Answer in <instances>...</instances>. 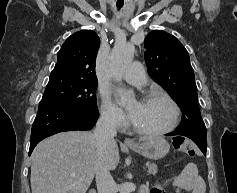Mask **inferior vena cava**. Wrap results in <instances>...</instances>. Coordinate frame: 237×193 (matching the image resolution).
Masks as SVG:
<instances>
[{"mask_svg":"<svg viewBox=\"0 0 237 193\" xmlns=\"http://www.w3.org/2000/svg\"><path fill=\"white\" fill-rule=\"evenodd\" d=\"M116 134L115 117L110 113L101 114L93 133L98 154L96 162V185L98 193H116L115 181L103 160L107 152V147Z\"/></svg>","mask_w":237,"mask_h":193,"instance_id":"inferior-vena-cava-1","label":"inferior vena cava"}]
</instances>
